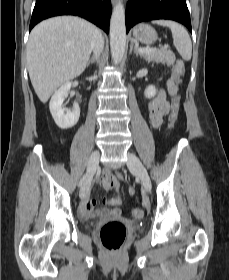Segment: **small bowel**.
I'll return each instance as SVG.
<instances>
[{"instance_id": "1", "label": "small bowel", "mask_w": 229, "mask_h": 280, "mask_svg": "<svg viewBox=\"0 0 229 280\" xmlns=\"http://www.w3.org/2000/svg\"><path fill=\"white\" fill-rule=\"evenodd\" d=\"M178 64V63H177ZM181 64V63H179ZM149 121L154 128H158L163 120V117L169 113V102L166 99L165 92L158 90L156 96L148 104ZM116 192L119 190V183L112 187ZM121 198L116 195L105 199V203L109 206L108 209H103L98 212L99 215L104 217H121L120 204L116 201ZM95 203L89 199V189L85 191L81 197V202L78 206V216L82 219H87L92 215Z\"/></svg>"}]
</instances>
